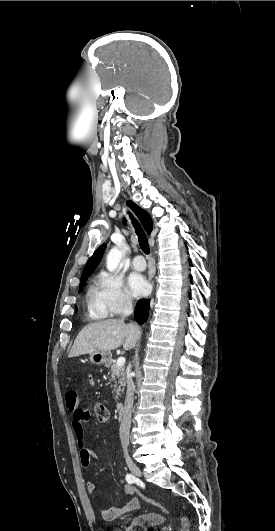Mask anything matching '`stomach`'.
<instances>
[{"label": "stomach", "instance_id": "1", "mask_svg": "<svg viewBox=\"0 0 275 531\" xmlns=\"http://www.w3.org/2000/svg\"><path fill=\"white\" fill-rule=\"evenodd\" d=\"M93 365H110L112 361L111 351H93L89 357Z\"/></svg>", "mask_w": 275, "mask_h": 531}]
</instances>
